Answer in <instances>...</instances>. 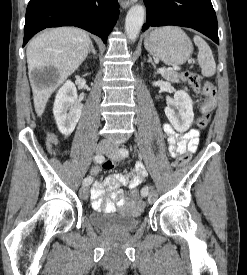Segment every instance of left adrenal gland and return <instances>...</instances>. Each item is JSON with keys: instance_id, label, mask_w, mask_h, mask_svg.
Masks as SVG:
<instances>
[{"instance_id": "obj_1", "label": "left adrenal gland", "mask_w": 247, "mask_h": 275, "mask_svg": "<svg viewBox=\"0 0 247 275\" xmlns=\"http://www.w3.org/2000/svg\"><path fill=\"white\" fill-rule=\"evenodd\" d=\"M148 63H151L153 65V67L155 68V64L154 62L152 61V58L150 56H148V60H147Z\"/></svg>"}]
</instances>
